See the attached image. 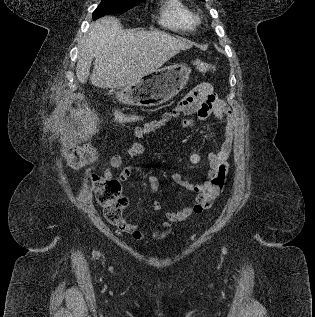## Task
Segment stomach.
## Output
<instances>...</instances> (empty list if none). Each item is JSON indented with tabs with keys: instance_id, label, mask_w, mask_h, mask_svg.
Returning <instances> with one entry per match:
<instances>
[{
	"instance_id": "obj_1",
	"label": "stomach",
	"mask_w": 315,
	"mask_h": 317,
	"mask_svg": "<svg viewBox=\"0 0 315 317\" xmlns=\"http://www.w3.org/2000/svg\"><path fill=\"white\" fill-rule=\"evenodd\" d=\"M190 68L186 64H174L157 69L134 84H125V95L136 98L138 105L153 107L166 103L187 84Z\"/></svg>"
}]
</instances>
